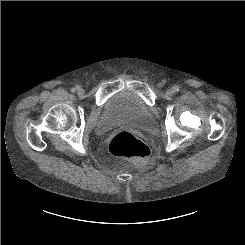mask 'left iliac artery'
Segmentation results:
<instances>
[{
    "mask_svg": "<svg viewBox=\"0 0 245 245\" xmlns=\"http://www.w3.org/2000/svg\"><path fill=\"white\" fill-rule=\"evenodd\" d=\"M173 91H174V92L179 91V87L175 85V86L173 87Z\"/></svg>",
    "mask_w": 245,
    "mask_h": 245,
    "instance_id": "1",
    "label": "left iliac artery"
}]
</instances>
